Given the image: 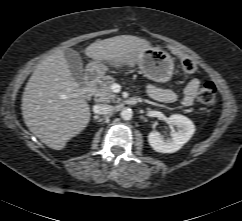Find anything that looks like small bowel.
<instances>
[{"instance_id":"1","label":"small bowel","mask_w":242,"mask_h":221,"mask_svg":"<svg viewBox=\"0 0 242 221\" xmlns=\"http://www.w3.org/2000/svg\"><path fill=\"white\" fill-rule=\"evenodd\" d=\"M200 87V81L198 78H192L188 81L184 95L181 99V104L185 107L193 105ZM147 93L154 99L161 102H174L177 100V95L170 89H164L155 85L149 84L146 88Z\"/></svg>"}]
</instances>
